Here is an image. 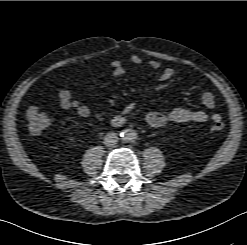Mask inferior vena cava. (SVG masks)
Returning a JSON list of instances; mask_svg holds the SVG:
<instances>
[{"instance_id": "602c4592", "label": "inferior vena cava", "mask_w": 247, "mask_h": 245, "mask_svg": "<svg viewBox=\"0 0 247 245\" xmlns=\"http://www.w3.org/2000/svg\"><path fill=\"white\" fill-rule=\"evenodd\" d=\"M118 142V136L116 133H108L105 137H104V144L106 146H114L116 145Z\"/></svg>"}]
</instances>
